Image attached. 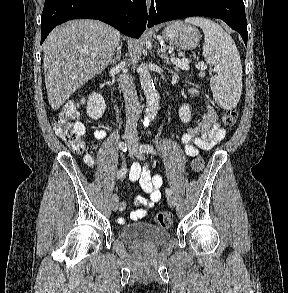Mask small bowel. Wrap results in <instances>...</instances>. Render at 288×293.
<instances>
[{"instance_id": "small-bowel-1", "label": "small bowel", "mask_w": 288, "mask_h": 293, "mask_svg": "<svg viewBox=\"0 0 288 293\" xmlns=\"http://www.w3.org/2000/svg\"><path fill=\"white\" fill-rule=\"evenodd\" d=\"M190 95H197L195 88L189 90ZM226 135L225 129L217 123V114L210 104H207L205 112L201 115L198 123L194 127H188L181 136V142L185 145V153L190 156H196L199 150H210ZM106 136L105 130H97L95 137L103 139ZM129 177L132 181L137 182L140 190L147 194L148 197L138 195L135 204L141 206L130 214V219L138 221L147 216L149 210L161 200V187L163 178L160 174L151 175L147 167H142L138 162L132 164ZM126 206L125 202L121 203V208ZM119 222L123 224L124 219L120 218Z\"/></svg>"}]
</instances>
